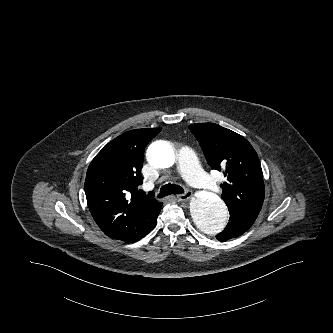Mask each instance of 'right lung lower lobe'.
<instances>
[{
    "instance_id": "right-lung-lower-lobe-1",
    "label": "right lung lower lobe",
    "mask_w": 333,
    "mask_h": 333,
    "mask_svg": "<svg viewBox=\"0 0 333 333\" xmlns=\"http://www.w3.org/2000/svg\"><path fill=\"white\" fill-rule=\"evenodd\" d=\"M162 203L152 208V210L143 216L138 222L135 230L122 239L125 242H136L148 234L156 225L157 217L161 211Z\"/></svg>"
}]
</instances>
